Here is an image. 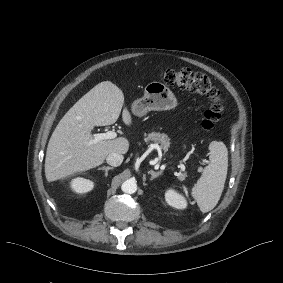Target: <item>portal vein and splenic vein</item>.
Wrapping results in <instances>:
<instances>
[{"label":"portal vein and splenic vein","mask_w":283,"mask_h":283,"mask_svg":"<svg viewBox=\"0 0 283 283\" xmlns=\"http://www.w3.org/2000/svg\"><path fill=\"white\" fill-rule=\"evenodd\" d=\"M117 136L116 132L114 131H108L106 133H97L94 134V139L89 142V144H97L98 142L102 140L107 139H114ZM184 167V165H182Z\"/></svg>","instance_id":"1"}]
</instances>
